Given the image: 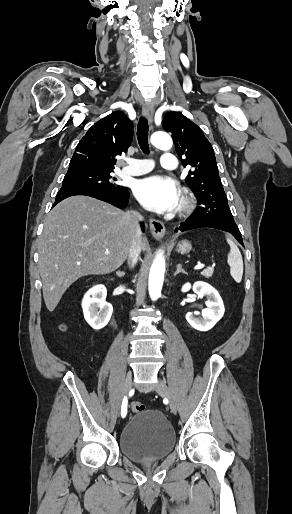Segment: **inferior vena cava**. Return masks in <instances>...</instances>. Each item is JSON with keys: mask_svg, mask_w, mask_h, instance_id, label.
I'll use <instances>...</instances> for the list:
<instances>
[{"mask_svg": "<svg viewBox=\"0 0 292 514\" xmlns=\"http://www.w3.org/2000/svg\"><path fill=\"white\" fill-rule=\"evenodd\" d=\"M127 216H129L131 222H133L134 228H136V234L131 244L128 256L129 264H132V266H134V264L138 262L142 250V232L140 230L139 220H143V218L141 214H138V212H127Z\"/></svg>", "mask_w": 292, "mask_h": 514, "instance_id": "inferior-vena-cava-1", "label": "inferior vena cava"}]
</instances>
